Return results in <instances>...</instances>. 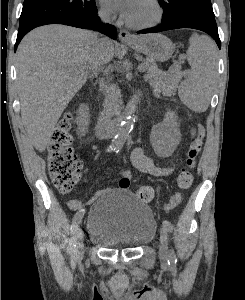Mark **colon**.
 <instances>
[{
  "mask_svg": "<svg viewBox=\"0 0 245 300\" xmlns=\"http://www.w3.org/2000/svg\"><path fill=\"white\" fill-rule=\"evenodd\" d=\"M70 127V115L67 114L53 130L47 146L48 171L54 186L63 194L74 188L79 181L82 170V163L71 147L73 138ZM204 137L205 128L199 124L197 136L188 149L184 167L177 177V184L181 190L190 188L193 183L192 170L196 164V158L200 153ZM136 194L141 201L150 202L154 197V190L150 186H142L137 189ZM181 201L182 195L178 192L166 205V209H174Z\"/></svg>",
  "mask_w": 245,
  "mask_h": 300,
  "instance_id": "colon-1",
  "label": "colon"
}]
</instances>
